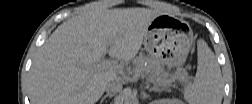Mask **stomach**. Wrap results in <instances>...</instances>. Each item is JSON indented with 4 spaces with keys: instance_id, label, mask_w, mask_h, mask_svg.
<instances>
[{
    "instance_id": "0dacf381",
    "label": "stomach",
    "mask_w": 252,
    "mask_h": 104,
    "mask_svg": "<svg viewBox=\"0 0 252 104\" xmlns=\"http://www.w3.org/2000/svg\"><path fill=\"white\" fill-rule=\"evenodd\" d=\"M193 44L189 24L177 17L161 14L150 23L144 38L146 52L162 65L181 66Z\"/></svg>"
}]
</instances>
